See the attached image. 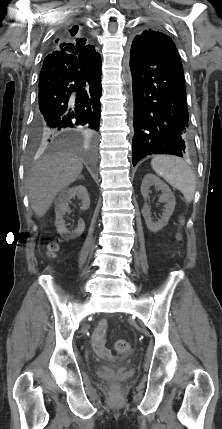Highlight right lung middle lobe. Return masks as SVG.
Here are the masks:
<instances>
[{"label": "right lung middle lobe", "mask_w": 222, "mask_h": 429, "mask_svg": "<svg viewBox=\"0 0 222 429\" xmlns=\"http://www.w3.org/2000/svg\"><path fill=\"white\" fill-rule=\"evenodd\" d=\"M31 138L34 141L35 146L38 144L44 145L47 140V138L42 133H32Z\"/></svg>", "instance_id": "1"}]
</instances>
